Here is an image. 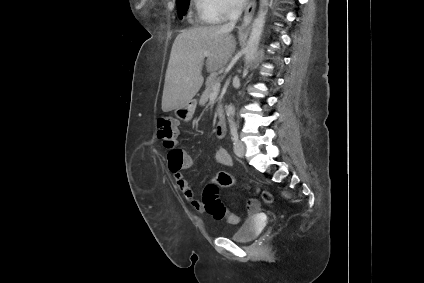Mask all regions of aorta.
<instances>
[{"mask_svg": "<svg viewBox=\"0 0 424 283\" xmlns=\"http://www.w3.org/2000/svg\"><path fill=\"white\" fill-rule=\"evenodd\" d=\"M268 0H260L259 11L256 19L253 22L252 31L247 41V45L244 49L245 65L249 66L250 62L254 59L255 53L258 49L260 38L265 25V18L267 13ZM235 114V108L232 105L227 107V115L230 126H234L233 116Z\"/></svg>", "mask_w": 424, "mask_h": 283, "instance_id": "aorta-1", "label": "aorta"}]
</instances>
